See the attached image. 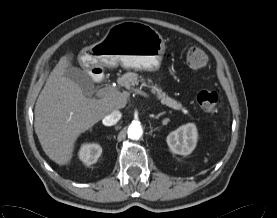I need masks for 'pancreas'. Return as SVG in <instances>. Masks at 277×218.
I'll use <instances>...</instances> for the list:
<instances>
[{
  "label": "pancreas",
  "mask_w": 277,
  "mask_h": 218,
  "mask_svg": "<svg viewBox=\"0 0 277 218\" xmlns=\"http://www.w3.org/2000/svg\"><path fill=\"white\" fill-rule=\"evenodd\" d=\"M117 82L119 85L124 86L129 90H134V86L138 85L139 82H142L141 86L150 88L151 93L155 95L157 100H160L163 105L174 110H181L183 112L187 111L180 102L169 97L157 84H153L150 79L146 82L142 76H138V74L134 72L125 73L118 78Z\"/></svg>",
  "instance_id": "cf45deb5"
}]
</instances>
